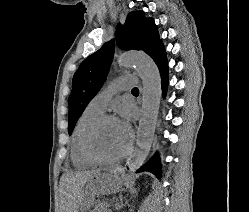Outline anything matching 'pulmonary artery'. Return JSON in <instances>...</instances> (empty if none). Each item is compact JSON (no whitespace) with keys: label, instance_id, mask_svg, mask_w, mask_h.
Listing matches in <instances>:
<instances>
[{"label":"pulmonary artery","instance_id":"obj_1","mask_svg":"<svg viewBox=\"0 0 249 212\" xmlns=\"http://www.w3.org/2000/svg\"><path fill=\"white\" fill-rule=\"evenodd\" d=\"M129 77V75H122L114 80H112L105 88L99 91L90 101V105L95 109L103 112L106 109L108 101L116 93L129 90L132 88L131 84L126 83L124 80Z\"/></svg>","mask_w":249,"mask_h":212}]
</instances>
